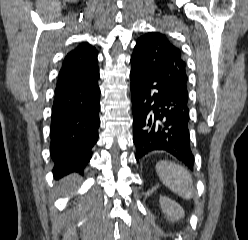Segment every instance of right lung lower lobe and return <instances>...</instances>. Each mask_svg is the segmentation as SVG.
<instances>
[{"label": "right lung lower lobe", "instance_id": "right-lung-lower-lobe-1", "mask_svg": "<svg viewBox=\"0 0 248 240\" xmlns=\"http://www.w3.org/2000/svg\"><path fill=\"white\" fill-rule=\"evenodd\" d=\"M98 79L99 69H96L56 86L50 128V152L56 178L83 172L91 159L100 125Z\"/></svg>", "mask_w": 248, "mask_h": 240}]
</instances>
